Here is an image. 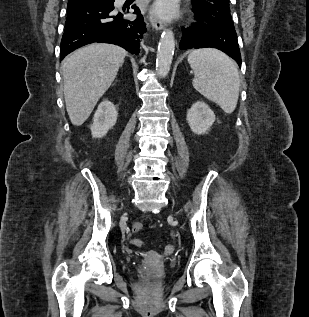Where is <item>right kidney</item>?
<instances>
[{
  "label": "right kidney",
  "instance_id": "1",
  "mask_svg": "<svg viewBox=\"0 0 309 317\" xmlns=\"http://www.w3.org/2000/svg\"><path fill=\"white\" fill-rule=\"evenodd\" d=\"M118 112L114 104L108 100L102 101L93 117L91 134L93 138H102L117 121Z\"/></svg>",
  "mask_w": 309,
  "mask_h": 317
}]
</instances>
